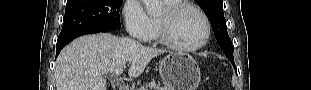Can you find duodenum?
I'll return each instance as SVG.
<instances>
[{
  "label": "duodenum",
  "instance_id": "duodenum-1",
  "mask_svg": "<svg viewBox=\"0 0 311 90\" xmlns=\"http://www.w3.org/2000/svg\"><path fill=\"white\" fill-rule=\"evenodd\" d=\"M116 89L117 90H129V88L126 86H120V87H117Z\"/></svg>",
  "mask_w": 311,
  "mask_h": 90
}]
</instances>
